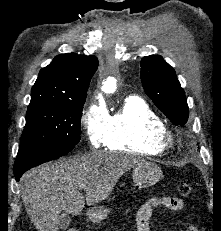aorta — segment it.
I'll list each match as a JSON object with an SVG mask.
<instances>
[{"label": "aorta", "mask_w": 221, "mask_h": 231, "mask_svg": "<svg viewBox=\"0 0 221 231\" xmlns=\"http://www.w3.org/2000/svg\"><path fill=\"white\" fill-rule=\"evenodd\" d=\"M102 90L106 93H113L116 90V81L114 78H108L103 82Z\"/></svg>", "instance_id": "obj_1"}]
</instances>
